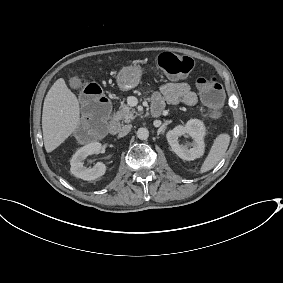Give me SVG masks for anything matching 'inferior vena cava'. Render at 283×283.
<instances>
[{
	"label": "inferior vena cava",
	"instance_id": "inferior-vena-cava-1",
	"mask_svg": "<svg viewBox=\"0 0 283 283\" xmlns=\"http://www.w3.org/2000/svg\"><path fill=\"white\" fill-rule=\"evenodd\" d=\"M131 128H132L131 124L123 126L118 132L119 136L121 137L126 136L130 132Z\"/></svg>",
	"mask_w": 283,
	"mask_h": 283
}]
</instances>
